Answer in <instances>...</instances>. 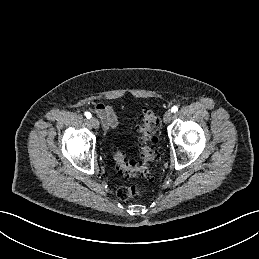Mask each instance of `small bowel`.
I'll return each mask as SVG.
<instances>
[{
    "mask_svg": "<svg viewBox=\"0 0 259 259\" xmlns=\"http://www.w3.org/2000/svg\"><path fill=\"white\" fill-rule=\"evenodd\" d=\"M94 110L106 129L117 128L119 126L120 117L117 115L112 106L96 103L94 105Z\"/></svg>",
    "mask_w": 259,
    "mask_h": 259,
    "instance_id": "small-bowel-1",
    "label": "small bowel"
}]
</instances>
